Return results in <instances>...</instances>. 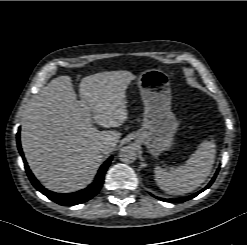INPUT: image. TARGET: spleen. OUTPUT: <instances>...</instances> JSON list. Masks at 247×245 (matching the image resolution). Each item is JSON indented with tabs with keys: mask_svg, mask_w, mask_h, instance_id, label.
<instances>
[{
	"mask_svg": "<svg viewBox=\"0 0 247 245\" xmlns=\"http://www.w3.org/2000/svg\"><path fill=\"white\" fill-rule=\"evenodd\" d=\"M213 140L203 141L184 165L166 171L155 167V181L165 192L183 195L197 189L211 173L216 149Z\"/></svg>",
	"mask_w": 247,
	"mask_h": 245,
	"instance_id": "1",
	"label": "spleen"
}]
</instances>
